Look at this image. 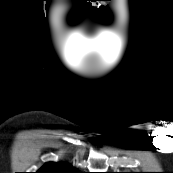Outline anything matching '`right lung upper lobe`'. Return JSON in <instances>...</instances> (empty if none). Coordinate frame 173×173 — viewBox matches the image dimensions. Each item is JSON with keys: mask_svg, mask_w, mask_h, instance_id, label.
I'll list each match as a JSON object with an SVG mask.
<instances>
[{"mask_svg": "<svg viewBox=\"0 0 173 173\" xmlns=\"http://www.w3.org/2000/svg\"><path fill=\"white\" fill-rule=\"evenodd\" d=\"M36 173H80L77 169L66 163H46Z\"/></svg>", "mask_w": 173, "mask_h": 173, "instance_id": "right-lung-upper-lobe-1", "label": "right lung upper lobe"}]
</instances>
